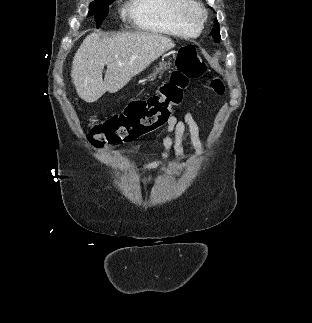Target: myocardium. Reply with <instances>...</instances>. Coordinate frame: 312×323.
<instances>
[{
	"label": "myocardium",
	"mask_w": 312,
	"mask_h": 323,
	"mask_svg": "<svg viewBox=\"0 0 312 323\" xmlns=\"http://www.w3.org/2000/svg\"><path fill=\"white\" fill-rule=\"evenodd\" d=\"M178 10L175 15L181 21H192L193 25H201L206 17H209V10H203L202 3L195 0H177Z\"/></svg>",
	"instance_id": "obj_1"
}]
</instances>
